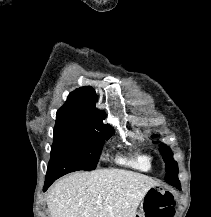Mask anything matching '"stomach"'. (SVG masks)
I'll return each mask as SVG.
<instances>
[{
  "mask_svg": "<svg viewBox=\"0 0 211 217\" xmlns=\"http://www.w3.org/2000/svg\"><path fill=\"white\" fill-rule=\"evenodd\" d=\"M134 217H145V212H144L143 204H141L140 210L138 212H136V214H135Z\"/></svg>",
  "mask_w": 211,
  "mask_h": 217,
  "instance_id": "0dacf381",
  "label": "stomach"
}]
</instances>
